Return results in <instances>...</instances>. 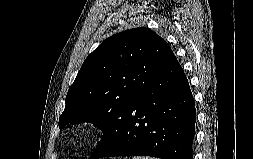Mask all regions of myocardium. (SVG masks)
Masks as SVG:
<instances>
[{
  "label": "myocardium",
  "instance_id": "f54148a6",
  "mask_svg": "<svg viewBox=\"0 0 253 159\" xmlns=\"http://www.w3.org/2000/svg\"><path fill=\"white\" fill-rule=\"evenodd\" d=\"M96 129L93 126H85L81 128L78 134V142L80 144L87 143L94 136Z\"/></svg>",
  "mask_w": 253,
  "mask_h": 159
}]
</instances>
